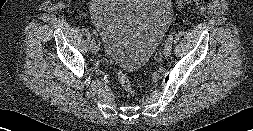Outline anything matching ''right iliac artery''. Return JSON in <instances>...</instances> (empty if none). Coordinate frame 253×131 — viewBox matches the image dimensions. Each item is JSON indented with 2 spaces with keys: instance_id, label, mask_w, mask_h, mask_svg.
I'll return each mask as SVG.
<instances>
[{
  "instance_id": "82829eb1",
  "label": "right iliac artery",
  "mask_w": 253,
  "mask_h": 131,
  "mask_svg": "<svg viewBox=\"0 0 253 131\" xmlns=\"http://www.w3.org/2000/svg\"><path fill=\"white\" fill-rule=\"evenodd\" d=\"M89 44H90L91 46H94V45L96 44V41H95L94 39H91V40L89 41Z\"/></svg>"
}]
</instances>
